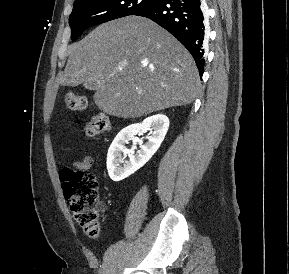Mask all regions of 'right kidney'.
<instances>
[{
  "mask_svg": "<svg viewBox=\"0 0 289 274\" xmlns=\"http://www.w3.org/2000/svg\"><path fill=\"white\" fill-rule=\"evenodd\" d=\"M169 128V119L164 114L147 117L140 123L131 124L123 128L115 137L107 154V170L113 181H121L148 162L159 149ZM150 131V136L144 143L136 141L135 136L144 131ZM138 142L139 150L127 151L125 145L130 141ZM136 144V143H134ZM122 153L124 157H122ZM128 156L129 159L123 162ZM123 163V165H121Z\"/></svg>",
  "mask_w": 289,
  "mask_h": 274,
  "instance_id": "obj_1",
  "label": "right kidney"
}]
</instances>
